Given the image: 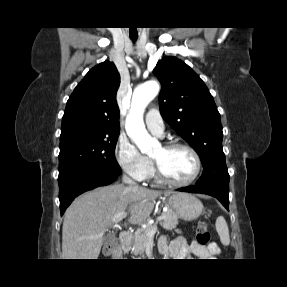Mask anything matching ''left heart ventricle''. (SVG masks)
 I'll list each match as a JSON object with an SVG mask.
<instances>
[{
	"instance_id": "obj_1",
	"label": "left heart ventricle",
	"mask_w": 287,
	"mask_h": 287,
	"mask_svg": "<svg viewBox=\"0 0 287 287\" xmlns=\"http://www.w3.org/2000/svg\"><path fill=\"white\" fill-rule=\"evenodd\" d=\"M152 157L157 159L166 174L176 181H186L190 179L196 169L193 155L188 150L182 148L168 151L160 146L154 151Z\"/></svg>"
}]
</instances>
